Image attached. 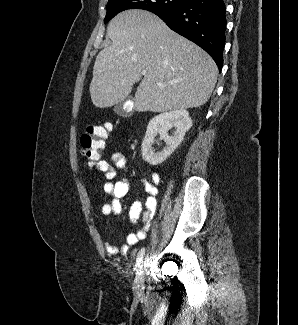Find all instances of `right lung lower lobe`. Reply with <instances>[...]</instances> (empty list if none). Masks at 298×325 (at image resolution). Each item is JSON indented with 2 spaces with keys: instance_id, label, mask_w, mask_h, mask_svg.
Segmentation results:
<instances>
[{
  "instance_id": "obj_1",
  "label": "right lung lower lobe",
  "mask_w": 298,
  "mask_h": 325,
  "mask_svg": "<svg viewBox=\"0 0 298 325\" xmlns=\"http://www.w3.org/2000/svg\"><path fill=\"white\" fill-rule=\"evenodd\" d=\"M225 12L223 0H189L178 9L163 10L155 14L169 28L203 48L221 71L226 30Z\"/></svg>"
}]
</instances>
